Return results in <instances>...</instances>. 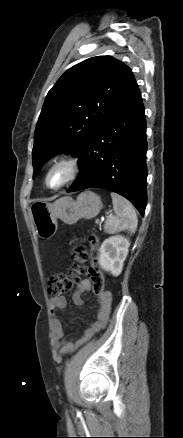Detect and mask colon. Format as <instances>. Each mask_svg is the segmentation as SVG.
I'll use <instances>...</instances> for the list:
<instances>
[{"label":"colon","mask_w":183,"mask_h":438,"mask_svg":"<svg viewBox=\"0 0 183 438\" xmlns=\"http://www.w3.org/2000/svg\"><path fill=\"white\" fill-rule=\"evenodd\" d=\"M90 250L80 242L76 241L72 249V267L69 274L59 273L52 275L48 283V293L50 297H59L67 293L80 276H88L92 290L95 295L100 296L104 291V276L99 263L98 238L90 235ZM90 260V266L85 263Z\"/></svg>","instance_id":"colon-1"}]
</instances>
